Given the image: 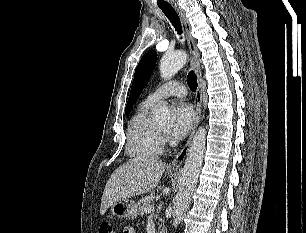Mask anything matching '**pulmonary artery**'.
I'll list each match as a JSON object with an SVG mask.
<instances>
[{"instance_id":"pulmonary-artery-1","label":"pulmonary artery","mask_w":306,"mask_h":233,"mask_svg":"<svg viewBox=\"0 0 306 233\" xmlns=\"http://www.w3.org/2000/svg\"><path fill=\"white\" fill-rule=\"evenodd\" d=\"M187 94L185 86L178 82L166 83L150 93L145 101L156 104L168 97H184Z\"/></svg>"}]
</instances>
